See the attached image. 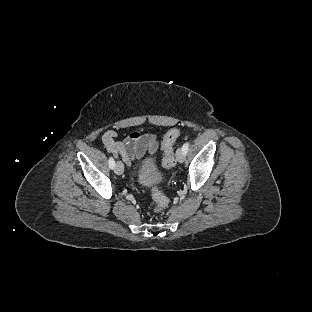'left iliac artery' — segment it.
Returning a JSON list of instances; mask_svg holds the SVG:
<instances>
[{
    "instance_id": "1",
    "label": "left iliac artery",
    "mask_w": 312,
    "mask_h": 312,
    "mask_svg": "<svg viewBox=\"0 0 312 312\" xmlns=\"http://www.w3.org/2000/svg\"><path fill=\"white\" fill-rule=\"evenodd\" d=\"M188 148H189V142H186L183 146H182V150L183 152L186 154L188 152Z\"/></svg>"
}]
</instances>
